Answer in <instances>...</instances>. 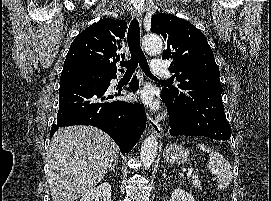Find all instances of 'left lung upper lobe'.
I'll list each match as a JSON object with an SVG mask.
<instances>
[{
	"label": "left lung upper lobe",
	"mask_w": 271,
	"mask_h": 201,
	"mask_svg": "<svg viewBox=\"0 0 271 201\" xmlns=\"http://www.w3.org/2000/svg\"><path fill=\"white\" fill-rule=\"evenodd\" d=\"M151 32L163 37L167 46L163 59H171L178 88H163L179 118L206 137L227 140L231 136L221 99L220 72L206 37L188 21L170 14H156Z\"/></svg>",
	"instance_id": "5c2ea615"
}]
</instances>
